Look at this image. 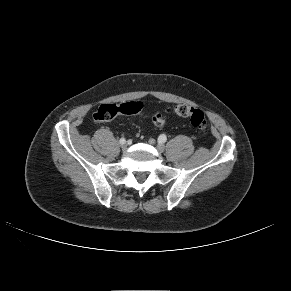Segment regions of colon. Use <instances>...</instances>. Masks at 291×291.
<instances>
[{
	"label": "colon",
	"instance_id": "colon-1",
	"mask_svg": "<svg viewBox=\"0 0 291 291\" xmlns=\"http://www.w3.org/2000/svg\"><path fill=\"white\" fill-rule=\"evenodd\" d=\"M143 110V104L140 101H129L122 104H103L93 114L96 122H107L114 119L117 115H138ZM173 112L176 116L188 118L191 125L204 130L207 126L205 114L194 107L186 104H179L172 110L167 109L164 112H158L152 116V123L156 127H162L167 121V115Z\"/></svg>",
	"mask_w": 291,
	"mask_h": 291
}]
</instances>
